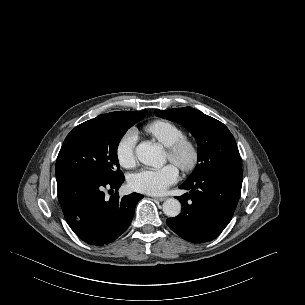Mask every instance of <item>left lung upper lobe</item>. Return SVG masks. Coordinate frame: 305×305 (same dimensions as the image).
Here are the masks:
<instances>
[{
    "instance_id": "1",
    "label": "left lung upper lobe",
    "mask_w": 305,
    "mask_h": 305,
    "mask_svg": "<svg viewBox=\"0 0 305 305\" xmlns=\"http://www.w3.org/2000/svg\"><path fill=\"white\" fill-rule=\"evenodd\" d=\"M155 114L183 125L197 141L198 163L186 181L225 165L241 164L236 141L220 121L190 107L155 110Z\"/></svg>"
}]
</instances>
